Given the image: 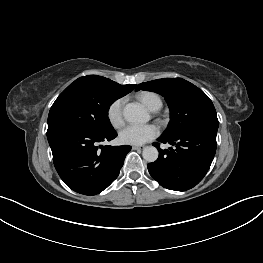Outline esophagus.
<instances>
[{
  "instance_id": "obj_1",
  "label": "esophagus",
  "mask_w": 263,
  "mask_h": 263,
  "mask_svg": "<svg viewBox=\"0 0 263 263\" xmlns=\"http://www.w3.org/2000/svg\"><path fill=\"white\" fill-rule=\"evenodd\" d=\"M133 150H141L143 149V146H132Z\"/></svg>"
}]
</instances>
